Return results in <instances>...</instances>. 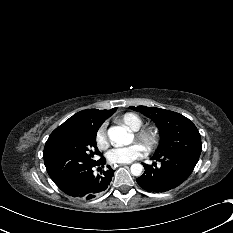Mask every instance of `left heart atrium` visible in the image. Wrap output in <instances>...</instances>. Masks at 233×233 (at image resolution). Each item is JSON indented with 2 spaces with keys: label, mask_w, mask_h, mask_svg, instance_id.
<instances>
[{
  "label": "left heart atrium",
  "mask_w": 233,
  "mask_h": 233,
  "mask_svg": "<svg viewBox=\"0 0 233 233\" xmlns=\"http://www.w3.org/2000/svg\"><path fill=\"white\" fill-rule=\"evenodd\" d=\"M146 152V148L142 143L136 142L126 147H118L112 149L108 153V158L113 163H130Z\"/></svg>",
  "instance_id": "obj_1"
}]
</instances>
